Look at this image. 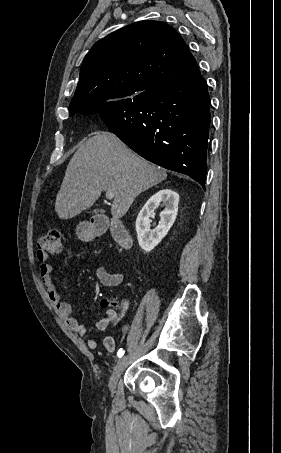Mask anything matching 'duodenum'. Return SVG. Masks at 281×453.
Wrapping results in <instances>:
<instances>
[{"label": "duodenum", "mask_w": 281, "mask_h": 453, "mask_svg": "<svg viewBox=\"0 0 281 453\" xmlns=\"http://www.w3.org/2000/svg\"><path fill=\"white\" fill-rule=\"evenodd\" d=\"M107 230H110L115 241L124 248H128L131 245V237L119 221L107 223L103 219H97L91 226V234L93 236H99Z\"/></svg>", "instance_id": "duodenum-1"}]
</instances>
